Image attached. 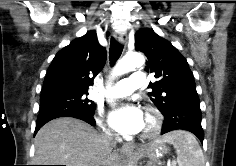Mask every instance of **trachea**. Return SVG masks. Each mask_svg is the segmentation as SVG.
I'll return each mask as SVG.
<instances>
[{
    "mask_svg": "<svg viewBox=\"0 0 236 166\" xmlns=\"http://www.w3.org/2000/svg\"><path fill=\"white\" fill-rule=\"evenodd\" d=\"M123 51V47L115 39H111L110 49H109V60L110 64L113 66L119 59Z\"/></svg>",
    "mask_w": 236,
    "mask_h": 166,
    "instance_id": "3493384b",
    "label": "trachea"
}]
</instances>
